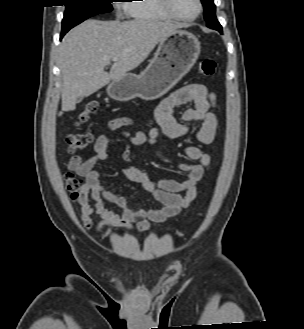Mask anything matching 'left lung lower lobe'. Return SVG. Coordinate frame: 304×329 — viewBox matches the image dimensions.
Wrapping results in <instances>:
<instances>
[{
  "label": "left lung lower lobe",
  "mask_w": 304,
  "mask_h": 329,
  "mask_svg": "<svg viewBox=\"0 0 304 329\" xmlns=\"http://www.w3.org/2000/svg\"><path fill=\"white\" fill-rule=\"evenodd\" d=\"M207 26L211 29H215L222 34V26L217 21L216 16L212 18L211 23L207 24Z\"/></svg>",
  "instance_id": "left-lung-lower-lobe-1"
}]
</instances>
